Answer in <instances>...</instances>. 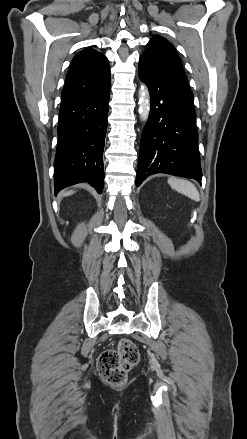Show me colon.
Here are the masks:
<instances>
[{
    "label": "colon",
    "instance_id": "1",
    "mask_svg": "<svg viewBox=\"0 0 247 439\" xmlns=\"http://www.w3.org/2000/svg\"><path fill=\"white\" fill-rule=\"evenodd\" d=\"M139 352L129 339H121L116 349L103 351L97 362L98 373L106 383L121 386L128 373L138 364Z\"/></svg>",
    "mask_w": 247,
    "mask_h": 439
}]
</instances>
